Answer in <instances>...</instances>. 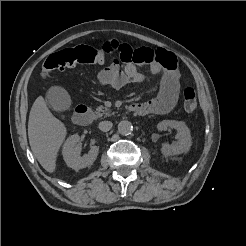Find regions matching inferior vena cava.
I'll use <instances>...</instances> for the list:
<instances>
[{
    "mask_svg": "<svg viewBox=\"0 0 246 246\" xmlns=\"http://www.w3.org/2000/svg\"><path fill=\"white\" fill-rule=\"evenodd\" d=\"M113 124L110 121H102L99 123L98 127L101 131L107 132L112 128Z\"/></svg>",
    "mask_w": 246,
    "mask_h": 246,
    "instance_id": "602c4592",
    "label": "inferior vena cava"
}]
</instances>
